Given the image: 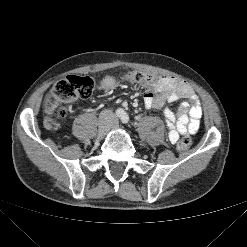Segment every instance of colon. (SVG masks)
<instances>
[{"instance_id":"5ec220e1","label":"colon","mask_w":247,"mask_h":247,"mask_svg":"<svg viewBox=\"0 0 247 247\" xmlns=\"http://www.w3.org/2000/svg\"><path fill=\"white\" fill-rule=\"evenodd\" d=\"M161 78L147 72L132 71L123 76V80L127 83L151 84L157 83ZM93 90V81L88 76L70 75L58 81L51 94L48 96L45 109L48 114L46 125L54 128L57 122L63 119L66 114V108L62 105L66 102L76 101L80 98H87ZM192 144L189 136L182 138L177 147L180 150L188 149Z\"/></svg>"}]
</instances>
